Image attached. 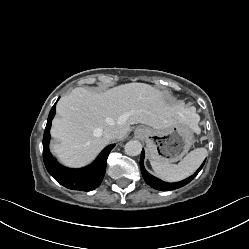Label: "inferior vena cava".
I'll use <instances>...</instances> for the list:
<instances>
[{"mask_svg": "<svg viewBox=\"0 0 249 249\" xmlns=\"http://www.w3.org/2000/svg\"><path fill=\"white\" fill-rule=\"evenodd\" d=\"M119 131L115 128L109 127L104 130V137L108 140H113L118 138Z\"/></svg>", "mask_w": 249, "mask_h": 249, "instance_id": "obj_1", "label": "inferior vena cava"}]
</instances>
